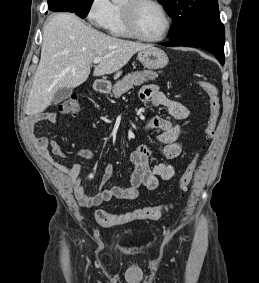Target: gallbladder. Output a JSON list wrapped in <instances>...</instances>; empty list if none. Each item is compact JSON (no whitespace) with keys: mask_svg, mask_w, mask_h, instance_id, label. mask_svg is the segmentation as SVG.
I'll return each mask as SVG.
<instances>
[{"mask_svg":"<svg viewBox=\"0 0 259 283\" xmlns=\"http://www.w3.org/2000/svg\"><path fill=\"white\" fill-rule=\"evenodd\" d=\"M73 92L72 88H60L54 95L51 105H57L58 103L67 99Z\"/></svg>","mask_w":259,"mask_h":283,"instance_id":"gallbladder-1","label":"gallbladder"}]
</instances>
